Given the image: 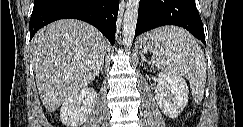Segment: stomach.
I'll return each mask as SVG.
<instances>
[{
    "instance_id": "0dacf381",
    "label": "stomach",
    "mask_w": 243,
    "mask_h": 127,
    "mask_svg": "<svg viewBox=\"0 0 243 127\" xmlns=\"http://www.w3.org/2000/svg\"><path fill=\"white\" fill-rule=\"evenodd\" d=\"M158 30H155L151 33L146 34V36L143 38V41L141 43V46L143 47V52H151L153 54H156L161 49V43L155 39L156 32Z\"/></svg>"
}]
</instances>
